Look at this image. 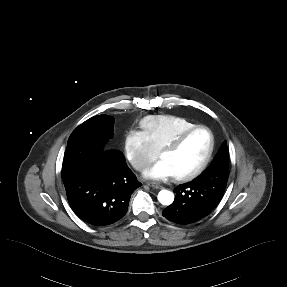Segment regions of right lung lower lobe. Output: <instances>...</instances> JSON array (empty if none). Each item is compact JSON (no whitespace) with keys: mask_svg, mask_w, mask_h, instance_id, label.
I'll list each match as a JSON object with an SVG mask.
<instances>
[{"mask_svg":"<svg viewBox=\"0 0 287 287\" xmlns=\"http://www.w3.org/2000/svg\"><path fill=\"white\" fill-rule=\"evenodd\" d=\"M105 140L83 137L68 142L62 180L70 207L85 223L106 226L127 212L131 194L141 186L120 151Z\"/></svg>","mask_w":287,"mask_h":287,"instance_id":"1","label":"right lung lower lobe"}]
</instances>
